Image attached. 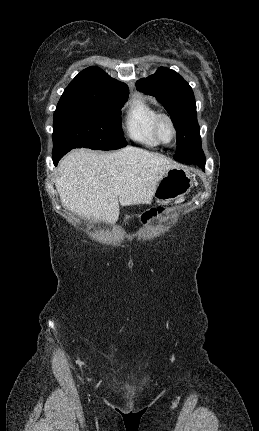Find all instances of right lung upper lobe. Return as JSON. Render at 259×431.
Returning a JSON list of instances; mask_svg holds the SVG:
<instances>
[{
	"label": "right lung upper lobe",
	"mask_w": 259,
	"mask_h": 431,
	"mask_svg": "<svg viewBox=\"0 0 259 431\" xmlns=\"http://www.w3.org/2000/svg\"><path fill=\"white\" fill-rule=\"evenodd\" d=\"M111 93H129V89L126 84L111 78L101 68L91 66L70 82L63 95L97 97Z\"/></svg>",
	"instance_id": "cb5924a9"
}]
</instances>
